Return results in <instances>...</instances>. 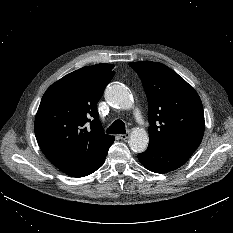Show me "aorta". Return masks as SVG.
I'll list each match as a JSON object with an SVG mask.
<instances>
[{
	"instance_id": "1",
	"label": "aorta",
	"mask_w": 233,
	"mask_h": 233,
	"mask_svg": "<svg viewBox=\"0 0 233 233\" xmlns=\"http://www.w3.org/2000/svg\"><path fill=\"white\" fill-rule=\"evenodd\" d=\"M104 95L108 103L120 109L127 110L133 105L129 91L119 84L108 85ZM128 143L132 151L142 153L146 150L149 143L148 133L144 129L133 130Z\"/></svg>"
}]
</instances>
